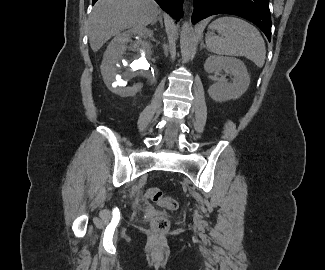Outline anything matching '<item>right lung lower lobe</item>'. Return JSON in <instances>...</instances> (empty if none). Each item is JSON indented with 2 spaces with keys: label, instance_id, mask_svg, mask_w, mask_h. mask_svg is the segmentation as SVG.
Segmentation results:
<instances>
[{
  "label": "right lung lower lobe",
  "instance_id": "obj_1",
  "mask_svg": "<svg viewBox=\"0 0 325 270\" xmlns=\"http://www.w3.org/2000/svg\"><path fill=\"white\" fill-rule=\"evenodd\" d=\"M97 0H93V4ZM160 7L166 11L168 14L173 16L176 19H179L183 16V0H155Z\"/></svg>",
  "mask_w": 325,
  "mask_h": 270
}]
</instances>
